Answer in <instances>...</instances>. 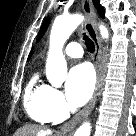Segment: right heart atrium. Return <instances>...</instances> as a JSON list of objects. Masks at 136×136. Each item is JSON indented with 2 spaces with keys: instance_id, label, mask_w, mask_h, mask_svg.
I'll use <instances>...</instances> for the list:
<instances>
[{
  "instance_id": "right-heart-atrium-1",
  "label": "right heart atrium",
  "mask_w": 136,
  "mask_h": 136,
  "mask_svg": "<svg viewBox=\"0 0 136 136\" xmlns=\"http://www.w3.org/2000/svg\"><path fill=\"white\" fill-rule=\"evenodd\" d=\"M44 103L53 121H60L68 115L69 107L58 89L46 86Z\"/></svg>"
}]
</instances>
